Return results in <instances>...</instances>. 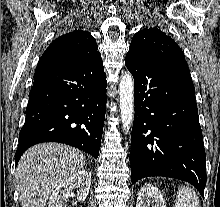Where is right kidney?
Segmentation results:
<instances>
[{
	"instance_id": "obj_1",
	"label": "right kidney",
	"mask_w": 220,
	"mask_h": 207,
	"mask_svg": "<svg viewBox=\"0 0 220 207\" xmlns=\"http://www.w3.org/2000/svg\"><path fill=\"white\" fill-rule=\"evenodd\" d=\"M90 185V172L81 170L74 173L55 188L50 196L48 207H63L64 201L68 199L74 188H77V200L84 201L89 194Z\"/></svg>"
}]
</instances>
